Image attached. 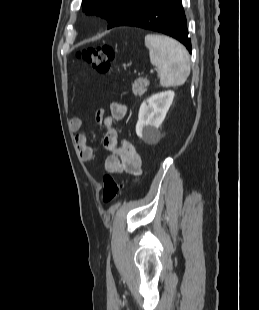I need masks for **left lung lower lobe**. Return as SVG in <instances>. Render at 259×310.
Returning <instances> with one entry per match:
<instances>
[{
  "instance_id": "1",
  "label": "left lung lower lobe",
  "mask_w": 259,
  "mask_h": 310,
  "mask_svg": "<svg viewBox=\"0 0 259 310\" xmlns=\"http://www.w3.org/2000/svg\"><path fill=\"white\" fill-rule=\"evenodd\" d=\"M115 26L161 32L180 41L189 52L192 50L181 0H149L127 12Z\"/></svg>"
}]
</instances>
